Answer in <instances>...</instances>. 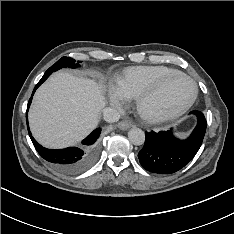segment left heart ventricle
<instances>
[{
    "instance_id": "1",
    "label": "left heart ventricle",
    "mask_w": 234,
    "mask_h": 234,
    "mask_svg": "<svg viewBox=\"0 0 234 234\" xmlns=\"http://www.w3.org/2000/svg\"><path fill=\"white\" fill-rule=\"evenodd\" d=\"M193 86L183 77L171 79L149 102L153 110H171L184 105L192 96Z\"/></svg>"
}]
</instances>
